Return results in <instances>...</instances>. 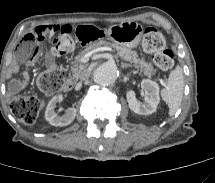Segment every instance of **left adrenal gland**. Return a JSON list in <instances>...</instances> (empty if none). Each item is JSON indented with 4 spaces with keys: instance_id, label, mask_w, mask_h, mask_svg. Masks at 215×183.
Instances as JSON below:
<instances>
[{
    "instance_id": "a2214340",
    "label": "left adrenal gland",
    "mask_w": 215,
    "mask_h": 183,
    "mask_svg": "<svg viewBox=\"0 0 215 183\" xmlns=\"http://www.w3.org/2000/svg\"><path fill=\"white\" fill-rule=\"evenodd\" d=\"M130 66H131V65H129V64H126V63H122V64H121V67H122V68H125V67H130Z\"/></svg>"
}]
</instances>
